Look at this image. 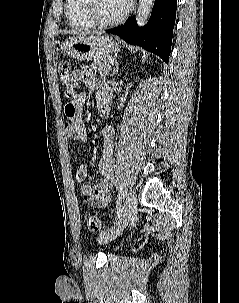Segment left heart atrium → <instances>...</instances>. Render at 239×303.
<instances>
[{"mask_svg":"<svg viewBox=\"0 0 239 303\" xmlns=\"http://www.w3.org/2000/svg\"><path fill=\"white\" fill-rule=\"evenodd\" d=\"M126 7H128L131 4V0H123Z\"/></svg>","mask_w":239,"mask_h":303,"instance_id":"1","label":"left heart atrium"}]
</instances>
